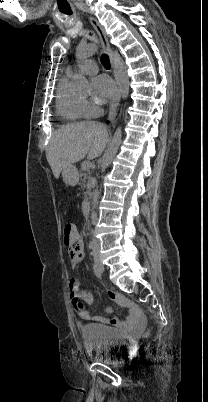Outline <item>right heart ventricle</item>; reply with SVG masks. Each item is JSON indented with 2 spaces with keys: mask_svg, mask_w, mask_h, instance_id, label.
<instances>
[{
  "mask_svg": "<svg viewBox=\"0 0 208 402\" xmlns=\"http://www.w3.org/2000/svg\"><path fill=\"white\" fill-rule=\"evenodd\" d=\"M71 73L67 72L58 85L56 96V110L67 125L80 126L86 122L84 116L82 97L83 95L75 93L69 88Z\"/></svg>",
  "mask_w": 208,
  "mask_h": 402,
  "instance_id": "obj_1",
  "label": "right heart ventricle"
}]
</instances>
